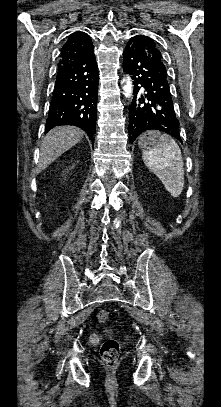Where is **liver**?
Segmentation results:
<instances>
[{"mask_svg": "<svg viewBox=\"0 0 221 407\" xmlns=\"http://www.w3.org/2000/svg\"><path fill=\"white\" fill-rule=\"evenodd\" d=\"M83 136L84 132L74 126H59L50 130L41 143L37 173L80 142Z\"/></svg>", "mask_w": 221, "mask_h": 407, "instance_id": "1", "label": "liver"}]
</instances>
